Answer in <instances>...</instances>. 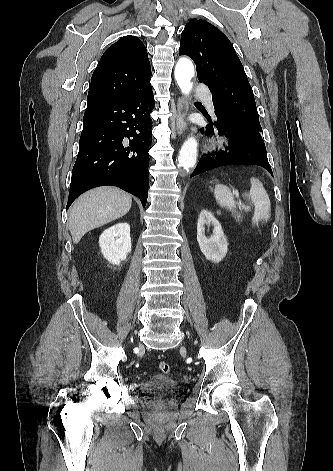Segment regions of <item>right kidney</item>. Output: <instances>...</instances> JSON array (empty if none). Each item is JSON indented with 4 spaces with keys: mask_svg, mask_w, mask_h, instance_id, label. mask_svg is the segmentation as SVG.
<instances>
[{
    "mask_svg": "<svg viewBox=\"0 0 333 471\" xmlns=\"http://www.w3.org/2000/svg\"><path fill=\"white\" fill-rule=\"evenodd\" d=\"M99 246L105 259L114 265L126 260L131 251L130 226L118 223L106 229L99 238Z\"/></svg>",
    "mask_w": 333,
    "mask_h": 471,
    "instance_id": "right-kidney-1",
    "label": "right kidney"
}]
</instances>
